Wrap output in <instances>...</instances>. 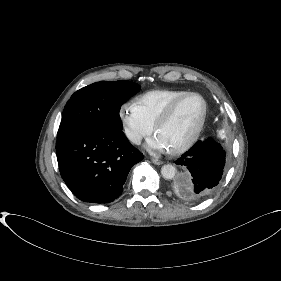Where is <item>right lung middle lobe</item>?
<instances>
[{
    "label": "right lung middle lobe",
    "instance_id": "1",
    "mask_svg": "<svg viewBox=\"0 0 281 281\" xmlns=\"http://www.w3.org/2000/svg\"><path fill=\"white\" fill-rule=\"evenodd\" d=\"M139 90L130 81L96 82L78 90L64 108L57 139L85 131L122 130L120 107Z\"/></svg>",
    "mask_w": 281,
    "mask_h": 281
}]
</instances>
